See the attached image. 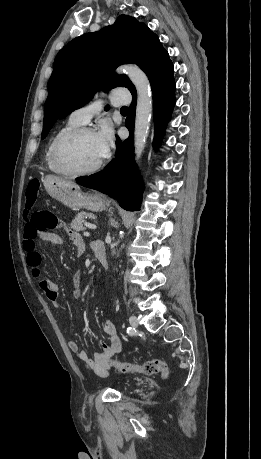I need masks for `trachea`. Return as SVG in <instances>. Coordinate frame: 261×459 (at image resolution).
Wrapping results in <instances>:
<instances>
[{"label":"trachea","instance_id":"trachea-1","mask_svg":"<svg viewBox=\"0 0 261 459\" xmlns=\"http://www.w3.org/2000/svg\"><path fill=\"white\" fill-rule=\"evenodd\" d=\"M120 110H121V111H128V107H126V106H123V107H121V109H120Z\"/></svg>","mask_w":261,"mask_h":459}]
</instances>
